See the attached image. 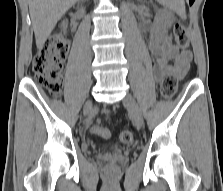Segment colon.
Listing matches in <instances>:
<instances>
[{
    "instance_id": "5ec220e1",
    "label": "colon",
    "mask_w": 223,
    "mask_h": 191,
    "mask_svg": "<svg viewBox=\"0 0 223 191\" xmlns=\"http://www.w3.org/2000/svg\"><path fill=\"white\" fill-rule=\"evenodd\" d=\"M173 35L180 49L186 50L189 46L186 28L182 24H175ZM68 52V46L64 40L58 38L48 41L39 53L34 57L32 69L36 84L46 89L50 94L58 96L62 91V68ZM178 78L174 74L167 75L161 85L162 95L171 99L177 90ZM92 131L102 138H109L110 132L107 129L95 126ZM119 140L123 144H130L133 141V133L130 130H123L119 134ZM110 171L114 170L110 166Z\"/></svg>"
}]
</instances>
